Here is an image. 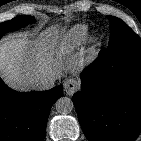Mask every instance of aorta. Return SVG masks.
Returning <instances> with one entry per match:
<instances>
[{
  "mask_svg": "<svg viewBox=\"0 0 141 141\" xmlns=\"http://www.w3.org/2000/svg\"><path fill=\"white\" fill-rule=\"evenodd\" d=\"M55 107L59 113L68 114L73 110L74 104L69 97H61L55 103Z\"/></svg>",
  "mask_w": 141,
  "mask_h": 141,
  "instance_id": "aorta-1",
  "label": "aorta"
}]
</instances>
